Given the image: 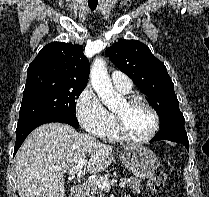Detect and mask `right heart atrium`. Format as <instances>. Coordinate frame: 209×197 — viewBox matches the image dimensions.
<instances>
[{"label": "right heart atrium", "instance_id": "d8ad5b80", "mask_svg": "<svg viewBox=\"0 0 209 197\" xmlns=\"http://www.w3.org/2000/svg\"><path fill=\"white\" fill-rule=\"evenodd\" d=\"M76 115L82 127L96 137H103L112 125L113 116L90 87L82 90L76 101Z\"/></svg>", "mask_w": 209, "mask_h": 197}]
</instances>
